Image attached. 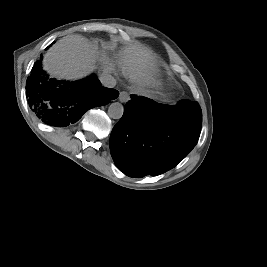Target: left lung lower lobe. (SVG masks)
Masks as SVG:
<instances>
[{
  "mask_svg": "<svg viewBox=\"0 0 267 267\" xmlns=\"http://www.w3.org/2000/svg\"><path fill=\"white\" fill-rule=\"evenodd\" d=\"M202 125L197 102L165 105L131 95L110 136L112 158L130 177L162 174L180 163L196 145Z\"/></svg>",
  "mask_w": 267,
  "mask_h": 267,
  "instance_id": "0a47b994",
  "label": "left lung lower lobe"
}]
</instances>
